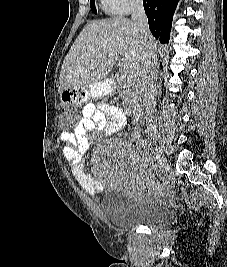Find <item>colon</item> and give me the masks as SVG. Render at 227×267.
I'll list each match as a JSON object with an SVG mask.
<instances>
[{"label": "colon", "mask_w": 227, "mask_h": 267, "mask_svg": "<svg viewBox=\"0 0 227 267\" xmlns=\"http://www.w3.org/2000/svg\"><path fill=\"white\" fill-rule=\"evenodd\" d=\"M67 107L63 108L60 115V130H71L75 119H80L81 115L78 110H69L68 106L72 104H66Z\"/></svg>", "instance_id": "colon-1"}]
</instances>
